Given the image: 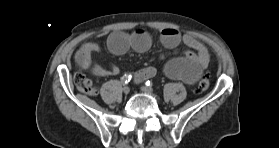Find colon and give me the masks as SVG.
Returning a JSON list of instances; mask_svg holds the SVG:
<instances>
[{"label":"colon","mask_w":279,"mask_h":148,"mask_svg":"<svg viewBox=\"0 0 279 148\" xmlns=\"http://www.w3.org/2000/svg\"><path fill=\"white\" fill-rule=\"evenodd\" d=\"M74 82L79 91L86 93L88 95H94L96 93V90L92 85V82L82 74H76L74 76ZM209 86H210L209 75L204 74L196 84L195 92L203 93L209 88Z\"/></svg>","instance_id":"1"}]
</instances>
